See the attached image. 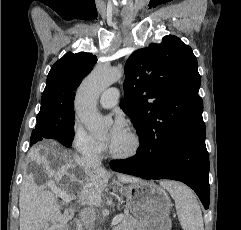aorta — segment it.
Wrapping results in <instances>:
<instances>
[{"label": "aorta", "mask_w": 241, "mask_h": 230, "mask_svg": "<svg viewBox=\"0 0 241 230\" xmlns=\"http://www.w3.org/2000/svg\"><path fill=\"white\" fill-rule=\"evenodd\" d=\"M122 67L99 66L82 82L75 100L78 118L94 136L103 135L111 125V119L103 117L97 109V100L101 93L120 80Z\"/></svg>", "instance_id": "obj_1"}]
</instances>
